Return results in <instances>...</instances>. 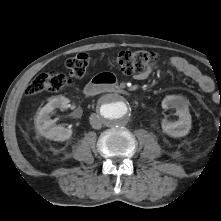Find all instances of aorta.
I'll return each mask as SVG.
<instances>
[{
  "label": "aorta",
  "instance_id": "aorta-1",
  "mask_svg": "<svg viewBox=\"0 0 221 221\" xmlns=\"http://www.w3.org/2000/svg\"><path fill=\"white\" fill-rule=\"evenodd\" d=\"M99 115L106 125L120 126L129 120L131 105L125 97L119 94H111L101 100Z\"/></svg>",
  "mask_w": 221,
  "mask_h": 221
}]
</instances>
